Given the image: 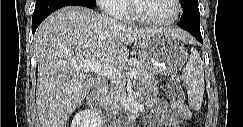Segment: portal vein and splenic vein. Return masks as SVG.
I'll return each mask as SVG.
<instances>
[{
    "label": "portal vein and splenic vein",
    "mask_w": 243,
    "mask_h": 127,
    "mask_svg": "<svg viewBox=\"0 0 243 127\" xmlns=\"http://www.w3.org/2000/svg\"><path fill=\"white\" fill-rule=\"evenodd\" d=\"M86 73L94 72L100 76H104L113 80L122 79L124 77V71L121 68H110L100 64L99 62L92 61L79 65ZM138 74V70L133 68L130 69L128 75L130 78H135Z\"/></svg>",
    "instance_id": "1"
}]
</instances>
